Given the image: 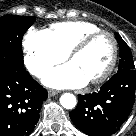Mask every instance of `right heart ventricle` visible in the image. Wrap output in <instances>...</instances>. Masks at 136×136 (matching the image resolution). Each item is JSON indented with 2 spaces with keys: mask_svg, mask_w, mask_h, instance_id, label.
<instances>
[{
  "mask_svg": "<svg viewBox=\"0 0 136 136\" xmlns=\"http://www.w3.org/2000/svg\"><path fill=\"white\" fill-rule=\"evenodd\" d=\"M98 30L100 28L90 22L65 21L52 24L44 31L55 47L66 56L81 38Z\"/></svg>",
  "mask_w": 136,
  "mask_h": 136,
  "instance_id": "right-heart-ventricle-1",
  "label": "right heart ventricle"
}]
</instances>
